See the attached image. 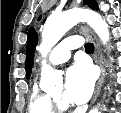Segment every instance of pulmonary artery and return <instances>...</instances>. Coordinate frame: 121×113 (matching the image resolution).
Here are the masks:
<instances>
[{
    "label": "pulmonary artery",
    "instance_id": "1",
    "mask_svg": "<svg viewBox=\"0 0 121 113\" xmlns=\"http://www.w3.org/2000/svg\"><path fill=\"white\" fill-rule=\"evenodd\" d=\"M81 46V38L70 36L61 41L48 56V63L51 65H60L69 60L71 52Z\"/></svg>",
    "mask_w": 121,
    "mask_h": 113
}]
</instances>
